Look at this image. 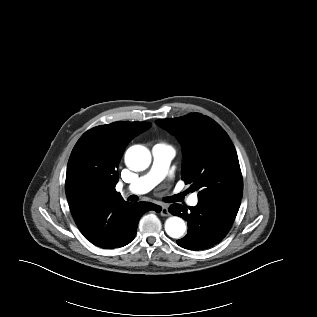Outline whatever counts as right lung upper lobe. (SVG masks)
Returning <instances> with one entry per match:
<instances>
[{
	"instance_id": "right-lung-upper-lobe-1",
	"label": "right lung upper lobe",
	"mask_w": 317,
	"mask_h": 317,
	"mask_svg": "<svg viewBox=\"0 0 317 317\" xmlns=\"http://www.w3.org/2000/svg\"><path fill=\"white\" fill-rule=\"evenodd\" d=\"M150 126L145 122H114L85 132L67 165L68 201L81 195L96 196L103 203L124 201L115 190L119 162L127 144Z\"/></svg>"
}]
</instances>
